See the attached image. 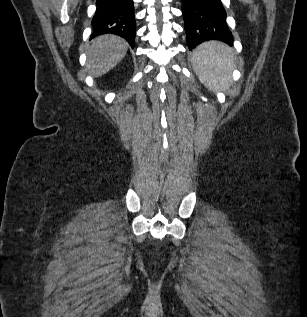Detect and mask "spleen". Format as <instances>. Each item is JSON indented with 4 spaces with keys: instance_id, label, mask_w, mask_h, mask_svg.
Wrapping results in <instances>:
<instances>
[{
    "instance_id": "obj_1",
    "label": "spleen",
    "mask_w": 307,
    "mask_h": 317,
    "mask_svg": "<svg viewBox=\"0 0 307 317\" xmlns=\"http://www.w3.org/2000/svg\"><path fill=\"white\" fill-rule=\"evenodd\" d=\"M192 61L200 81L210 90L222 91L229 87L233 55L227 46L215 41L206 42L194 51Z\"/></svg>"
}]
</instances>
